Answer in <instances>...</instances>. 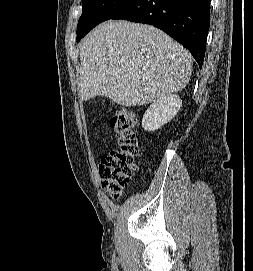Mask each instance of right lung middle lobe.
<instances>
[{"label":"right lung middle lobe","mask_w":253,"mask_h":271,"mask_svg":"<svg viewBox=\"0 0 253 271\" xmlns=\"http://www.w3.org/2000/svg\"><path fill=\"white\" fill-rule=\"evenodd\" d=\"M130 0H83L82 15L78 22L77 40L84 37L99 23L111 19Z\"/></svg>","instance_id":"dd1d6c3e"}]
</instances>
